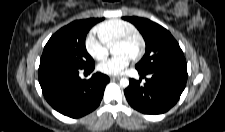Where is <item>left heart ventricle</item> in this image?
Here are the masks:
<instances>
[{"label": "left heart ventricle", "instance_id": "b2bd125f", "mask_svg": "<svg viewBox=\"0 0 225 132\" xmlns=\"http://www.w3.org/2000/svg\"><path fill=\"white\" fill-rule=\"evenodd\" d=\"M138 50L139 42L136 40L128 44H118L113 47L114 54H127L131 58L137 53Z\"/></svg>", "mask_w": 225, "mask_h": 132}]
</instances>
